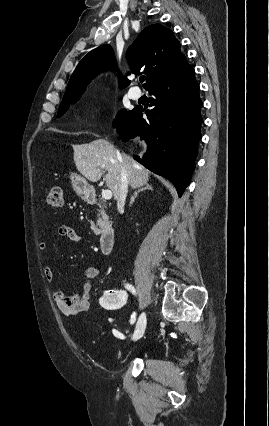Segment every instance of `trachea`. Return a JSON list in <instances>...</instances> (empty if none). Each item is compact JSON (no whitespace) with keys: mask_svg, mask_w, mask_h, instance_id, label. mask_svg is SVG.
Listing matches in <instances>:
<instances>
[{"mask_svg":"<svg viewBox=\"0 0 269 426\" xmlns=\"http://www.w3.org/2000/svg\"><path fill=\"white\" fill-rule=\"evenodd\" d=\"M145 79H146V78H145L144 76H142V77H140V79H139V80H140V82H141V83H143V82L145 81Z\"/></svg>","mask_w":269,"mask_h":426,"instance_id":"3493384b","label":"trachea"}]
</instances>
